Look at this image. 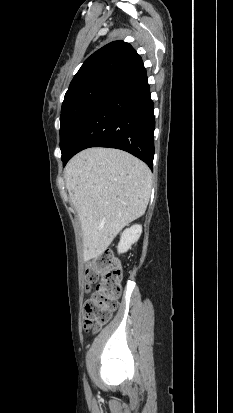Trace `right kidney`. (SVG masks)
<instances>
[{
  "mask_svg": "<svg viewBox=\"0 0 233 413\" xmlns=\"http://www.w3.org/2000/svg\"><path fill=\"white\" fill-rule=\"evenodd\" d=\"M142 233V226L135 224L130 228H127L121 234L120 242L118 244V252H127L131 246L138 241Z\"/></svg>",
  "mask_w": 233,
  "mask_h": 413,
  "instance_id": "ca27d5eb",
  "label": "right kidney"
}]
</instances>
